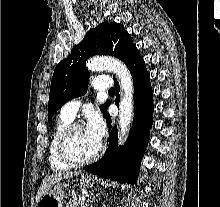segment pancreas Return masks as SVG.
Masks as SVG:
<instances>
[{"mask_svg":"<svg viewBox=\"0 0 220 207\" xmlns=\"http://www.w3.org/2000/svg\"><path fill=\"white\" fill-rule=\"evenodd\" d=\"M66 207H87L85 200H71Z\"/></svg>","mask_w":220,"mask_h":207,"instance_id":"pancreas-1","label":"pancreas"}]
</instances>
